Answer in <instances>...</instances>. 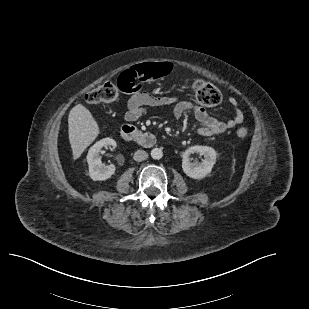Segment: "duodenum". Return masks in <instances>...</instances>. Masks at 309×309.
Wrapping results in <instances>:
<instances>
[{
	"instance_id": "obj_1",
	"label": "duodenum",
	"mask_w": 309,
	"mask_h": 309,
	"mask_svg": "<svg viewBox=\"0 0 309 309\" xmlns=\"http://www.w3.org/2000/svg\"><path fill=\"white\" fill-rule=\"evenodd\" d=\"M121 137L127 142H136L143 147H152L157 141L152 132L139 130L132 125H124L121 128Z\"/></svg>"
}]
</instances>
